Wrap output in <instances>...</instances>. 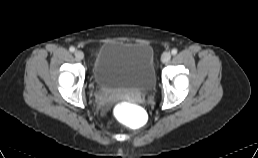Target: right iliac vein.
<instances>
[{
	"mask_svg": "<svg viewBox=\"0 0 258 158\" xmlns=\"http://www.w3.org/2000/svg\"><path fill=\"white\" fill-rule=\"evenodd\" d=\"M74 55L78 60H82L84 58V53L81 50L75 51Z\"/></svg>",
	"mask_w": 258,
	"mask_h": 158,
	"instance_id": "right-iliac-vein-1",
	"label": "right iliac vein"
}]
</instances>
